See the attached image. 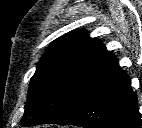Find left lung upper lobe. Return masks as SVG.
I'll use <instances>...</instances> for the list:
<instances>
[{"mask_svg":"<svg viewBox=\"0 0 142 128\" xmlns=\"http://www.w3.org/2000/svg\"><path fill=\"white\" fill-rule=\"evenodd\" d=\"M115 59L99 39L89 37L85 30L55 40L31 79L22 125L65 118L84 88Z\"/></svg>","mask_w":142,"mask_h":128,"instance_id":"5c2ea615","label":"left lung upper lobe"}]
</instances>
